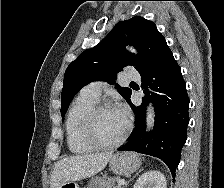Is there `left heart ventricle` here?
I'll use <instances>...</instances> for the list:
<instances>
[{
	"instance_id": "obj_1",
	"label": "left heart ventricle",
	"mask_w": 224,
	"mask_h": 188,
	"mask_svg": "<svg viewBox=\"0 0 224 188\" xmlns=\"http://www.w3.org/2000/svg\"><path fill=\"white\" fill-rule=\"evenodd\" d=\"M125 127L126 123L114 109H110L98 115L95 124V132L101 141L112 142L119 138Z\"/></svg>"
}]
</instances>
